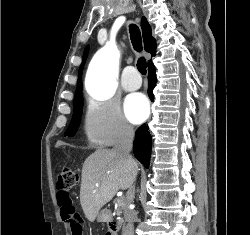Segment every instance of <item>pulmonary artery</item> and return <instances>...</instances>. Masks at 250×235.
Here are the masks:
<instances>
[{"label": "pulmonary artery", "mask_w": 250, "mask_h": 235, "mask_svg": "<svg viewBox=\"0 0 250 235\" xmlns=\"http://www.w3.org/2000/svg\"><path fill=\"white\" fill-rule=\"evenodd\" d=\"M121 85L127 91L137 90L141 85V78L133 66L124 69L121 77Z\"/></svg>", "instance_id": "1"}]
</instances>
